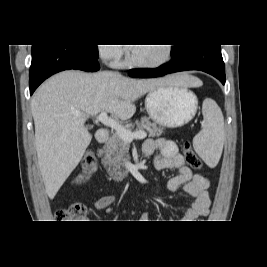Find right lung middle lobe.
Returning a JSON list of instances; mask_svg holds the SVG:
<instances>
[{"instance_id": "dd1d6c3e", "label": "right lung middle lobe", "mask_w": 267, "mask_h": 267, "mask_svg": "<svg viewBox=\"0 0 267 267\" xmlns=\"http://www.w3.org/2000/svg\"><path fill=\"white\" fill-rule=\"evenodd\" d=\"M81 47L85 48L90 53H92L95 57L98 58V48H97V45H82Z\"/></svg>"}]
</instances>
